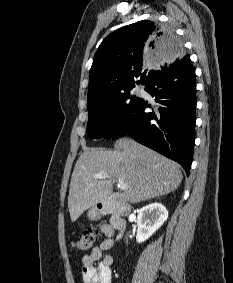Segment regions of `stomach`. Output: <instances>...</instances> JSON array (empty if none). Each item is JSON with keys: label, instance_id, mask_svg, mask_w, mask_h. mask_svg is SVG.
Listing matches in <instances>:
<instances>
[{"label": "stomach", "instance_id": "obj_1", "mask_svg": "<svg viewBox=\"0 0 233 283\" xmlns=\"http://www.w3.org/2000/svg\"><path fill=\"white\" fill-rule=\"evenodd\" d=\"M100 214H101V210H99L97 207H93L88 211L87 216L91 220H96Z\"/></svg>", "mask_w": 233, "mask_h": 283}]
</instances>
